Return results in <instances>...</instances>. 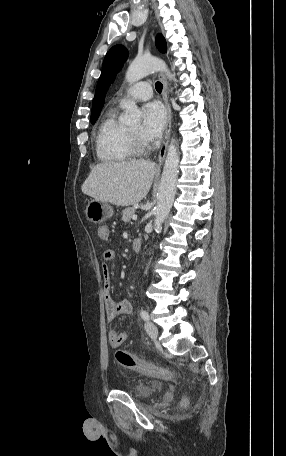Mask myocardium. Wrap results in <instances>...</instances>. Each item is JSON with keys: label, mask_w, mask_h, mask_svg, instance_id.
Wrapping results in <instances>:
<instances>
[{"label": "myocardium", "mask_w": 286, "mask_h": 456, "mask_svg": "<svg viewBox=\"0 0 286 456\" xmlns=\"http://www.w3.org/2000/svg\"><path fill=\"white\" fill-rule=\"evenodd\" d=\"M128 137L132 154L141 155L148 150L147 143L130 130H128Z\"/></svg>", "instance_id": "obj_1"}]
</instances>
